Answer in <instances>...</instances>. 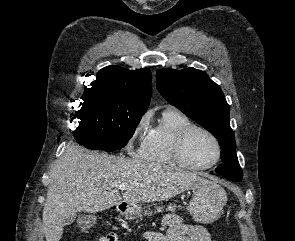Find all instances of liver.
<instances>
[{"instance_id": "liver-1", "label": "liver", "mask_w": 295, "mask_h": 241, "mask_svg": "<svg viewBox=\"0 0 295 241\" xmlns=\"http://www.w3.org/2000/svg\"><path fill=\"white\" fill-rule=\"evenodd\" d=\"M208 182L189 171L87 152L70 142L50 170L43 208L46 241H59L65 220L76 212L96 213L122 202L164 201ZM121 184L129 185L122 195Z\"/></svg>"}]
</instances>
